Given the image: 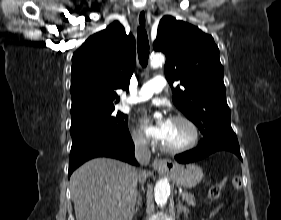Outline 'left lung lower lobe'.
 Here are the masks:
<instances>
[{
  "label": "left lung lower lobe",
  "instance_id": "1",
  "mask_svg": "<svg viewBox=\"0 0 281 220\" xmlns=\"http://www.w3.org/2000/svg\"><path fill=\"white\" fill-rule=\"evenodd\" d=\"M221 150L231 151L242 160L237 138L227 135L216 138H204L195 149L176 155L175 159L179 163H190Z\"/></svg>",
  "mask_w": 281,
  "mask_h": 220
}]
</instances>
